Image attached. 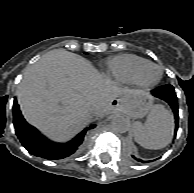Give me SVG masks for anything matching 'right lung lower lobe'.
Segmentation results:
<instances>
[{
	"label": "right lung lower lobe",
	"mask_w": 194,
	"mask_h": 193,
	"mask_svg": "<svg viewBox=\"0 0 194 193\" xmlns=\"http://www.w3.org/2000/svg\"><path fill=\"white\" fill-rule=\"evenodd\" d=\"M13 123L19 140L28 152L49 160L63 159L76 153L87 130L95 126L91 125L89 128L84 129L73 140L66 144L53 143L26 122L16 100L13 105Z\"/></svg>",
	"instance_id": "obj_1"
}]
</instances>
